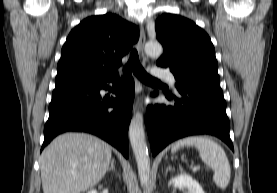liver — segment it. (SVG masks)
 I'll use <instances>...</instances> for the list:
<instances>
[{
	"label": "liver",
	"mask_w": 277,
	"mask_h": 193,
	"mask_svg": "<svg viewBox=\"0 0 277 193\" xmlns=\"http://www.w3.org/2000/svg\"><path fill=\"white\" fill-rule=\"evenodd\" d=\"M111 146L86 133H65L42 152L43 193H82L105 175L111 161Z\"/></svg>",
	"instance_id": "liver-1"
}]
</instances>
